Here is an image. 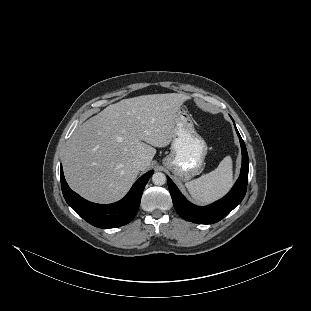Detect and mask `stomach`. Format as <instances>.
<instances>
[{"label": "stomach", "mask_w": 311, "mask_h": 311, "mask_svg": "<svg viewBox=\"0 0 311 311\" xmlns=\"http://www.w3.org/2000/svg\"><path fill=\"white\" fill-rule=\"evenodd\" d=\"M175 136L163 165L182 182H188L204 166L208 152L206 141L198 134L190 113L181 106L176 114Z\"/></svg>", "instance_id": "stomach-1"}]
</instances>
